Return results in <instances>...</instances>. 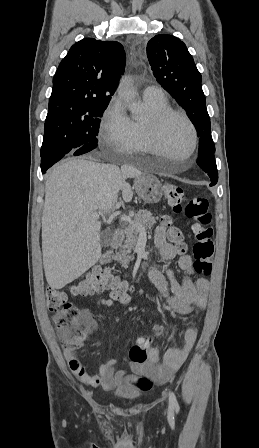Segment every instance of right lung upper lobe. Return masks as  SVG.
<instances>
[{"label":"right lung upper lobe","instance_id":"1","mask_svg":"<svg viewBox=\"0 0 259 448\" xmlns=\"http://www.w3.org/2000/svg\"><path fill=\"white\" fill-rule=\"evenodd\" d=\"M124 68L120 43L93 38L75 43L53 78L48 113H78L108 106Z\"/></svg>","mask_w":259,"mask_h":448}]
</instances>
